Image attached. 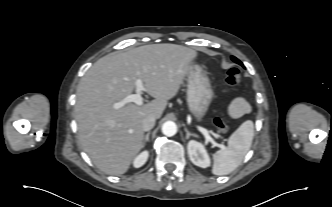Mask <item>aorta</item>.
Segmentation results:
<instances>
[{
    "label": "aorta",
    "mask_w": 332,
    "mask_h": 207,
    "mask_svg": "<svg viewBox=\"0 0 332 207\" xmlns=\"http://www.w3.org/2000/svg\"><path fill=\"white\" fill-rule=\"evenodd\" d=\"M162 133L166 136H174L177 133V126L173 121H167L162 125Z\"/></svg>",
    "instance_id": "762f6f07"
}]
</instances>
